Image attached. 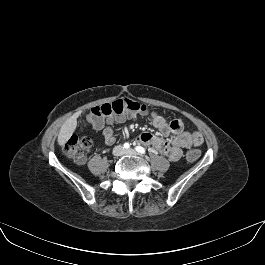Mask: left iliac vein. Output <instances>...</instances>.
Listing matches in <instances>:
<instances>
[{
    "label": "left iliac vein",
    "instance_id": "obj_1",
    "mask_svg": "<svg viewBox=\"0 0 265 265\" xmlns=\"http://www.w3.org/2000/svg\"><path fill=\"white\" fill-rule=\"evenodd\" d=\"M124 153L133 156L137 155V152L134 149L125 150Z\"/></svg>",
    "mask_w": 265,
    "mask_h": 265
}]
</instances>
